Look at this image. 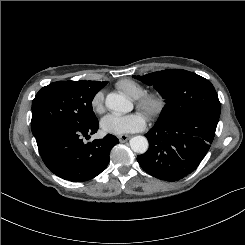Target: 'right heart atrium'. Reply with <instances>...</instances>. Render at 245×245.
<instances>
[{"label":"right heart atrium","instance_id":"1","mask_svg":"<svg viewBox=\"0 0 245 245\" xmlns=\"http://www.w3.org/2000/svg\"><path fill=\"white\" fill-rule=\"evenodd\" d=\"M91 108L93 112L101 114L104 111V93L98 91L91 99Z\"/></svg>","mask_w":245,"mask_h":245}]
</instances>
